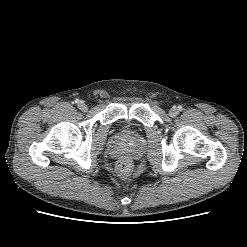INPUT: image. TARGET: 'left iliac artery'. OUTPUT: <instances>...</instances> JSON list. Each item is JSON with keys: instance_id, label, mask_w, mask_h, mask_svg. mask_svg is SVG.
<instances>
[{"instance_id": "44dca946", "label": "left iliac artery", "mask_w": 247, "mask_h": 247, "mask_svg": "<svg viewBox=\"0 0 247 247\" xmlns=\"http://www.w3.org/2000/svg\"><path fill=\"white\" fill-rule=\"evenodd\" d=\"M178 109H179V110H182V106H178Z\"/></svg>"}]
</instances>
